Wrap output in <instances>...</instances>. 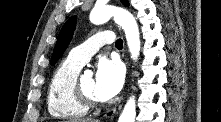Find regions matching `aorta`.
<instances>
[{
    "label": "aorta",
    "instance_id": "obj_1",
    "mask_svg": "<svg viewBox=\"0 0 221 122\" xmlns=\"http://www.w3.org/2000/svg\"><path fill=\"white\" fill-rule=\"evenodd\" d=\"M111 18L124 30L131 57L137 60L140 54V35L133 15L123 8L112 5L95 6L90 13V21L93 24H102ZM135 117L136 104L132 96L127 100L118 122H135Z\"/></svg>",
    "mask_w": 221,
    "mask_h": 122
}]
</instances>
